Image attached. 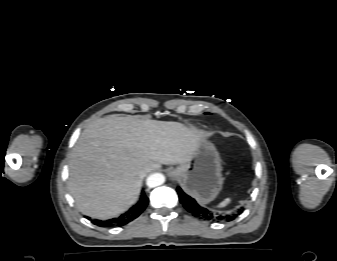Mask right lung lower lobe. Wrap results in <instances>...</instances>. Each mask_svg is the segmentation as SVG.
Instances as JSON below:
<instances>
[{
  "mask_svg": "<svg viewBox=\"0 0 337 261\" xmlns=\"http://www.w3.org/2000/svg\"><path fill=\"white\" fill-rule=\"evenodd\" d=\"M149 199L142 191L139 201L131 207L127 212L123 213L118 218H113L106 221L94 220L93 223L103 227L123 226L136 219L146 208Z\"/></svg>",
  "mask_w": 337,
  "mask_h": 261,
  "instance_id": "98d812e1",
  "label": "right lung lower lobe"
}]
</instances>
